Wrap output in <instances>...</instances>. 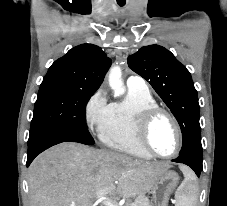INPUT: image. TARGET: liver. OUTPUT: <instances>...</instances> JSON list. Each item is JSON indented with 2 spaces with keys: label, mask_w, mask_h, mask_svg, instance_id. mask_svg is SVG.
<instances>
[{
  "label": "liver",
  "mask_w": 227,
  "mask_h": 206,
  "mask_svg": "<svg viewBox=\"0 0 227 206\" xmlns=\"http://www.w3.org/2000/svg\"><path fill=\"white\" fill-rule=\"evenodd\" d=\"M169 167L79 143H61L41 153L29 167L31 206H92L103 189L105 195L135 197L148 192Z\"/></svg>",
  "instance_id": "1"
}]
</instances>
